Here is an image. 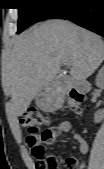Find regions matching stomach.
I'll use <instances>...</instances> for the list:
<instances>
[{
	"instance_id": "1",
	"label": "stomach",
	"mask_w": 104,
	"mask_h": 169,
	"mask_svg": "<svg viewBox=\"0 0 104 169\" xmlns=\"http://www.w3.org/2000/svg\"><path fill=\"white\" fill-rule=\"evenodd\" d=\"M55 98L56 94L54 93L51 86H45L37 94L36 103L40 108L44 110H50L52 109Z\"/></svg>"
}]
</instances>
